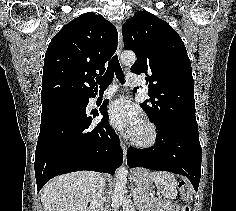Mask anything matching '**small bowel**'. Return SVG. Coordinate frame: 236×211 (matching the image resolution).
Wrapping results in <instances>:
<instances>
[{
  "mask_svg": "<svg viewBox=\"0 0 236 211\" xmlns=\"http://www.w3.org/2000/svg\"><path fill=\"white\" fill-rule=\"evenodd\" d=\"M144 211H176V208L173 206H169L164 201H158L156 206L153 209L144 210Z\"/></svg>",
  "mask_w": 236,
  "mask_h": 211,
  "instance_id": "c3829d8e",
  "label": "small bowel"
}]
</instances>
